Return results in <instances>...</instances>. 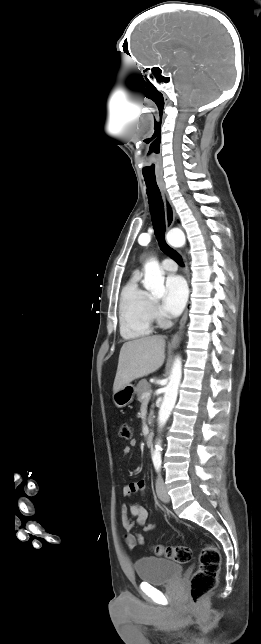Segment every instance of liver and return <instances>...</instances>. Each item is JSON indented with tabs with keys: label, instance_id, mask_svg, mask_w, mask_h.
<instances>
[{
	"label": "liver",
	"instance_id": "obj_1",
	"mask_svg": "<svg viewBox=\"0 0 261 644\" xmlns=\"http://www.w3.org/2000/svg\"><path fill=\"white\" fill-rule=\"evenodd\" d=\"M165 339L148 336L125 342L121 347L113 384L116 393L135 379L158 370L165 359Z\"/></svg>",
	"mask_w": 261,
	"mask_h": 644
}]
</instances>
